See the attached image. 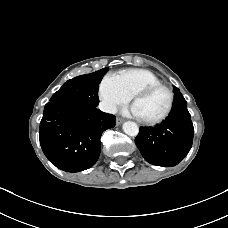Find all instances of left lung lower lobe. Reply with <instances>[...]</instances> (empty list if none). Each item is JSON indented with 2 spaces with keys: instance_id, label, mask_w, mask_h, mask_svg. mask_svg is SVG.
I'll return each instance as SVG.
<instances>
[{
  "instance_id": "0a47b994",
  "label": "left lung lower lobe",
  "mask_w": 228,
  "mask_h": 228,
  "mask_svg": "<svg viewBox=\"0 0 228 228\" xmlns=\"http://www.w3.org/2000/svg\"><path fill=\"white\" fill-rule=\"evenodd\" d=\"M194 128L187 102L176 92L169 117L155 127L140 128L135 143L144 159L158 166H175L188 154Z\"/></svg>"
}]
</instances>
